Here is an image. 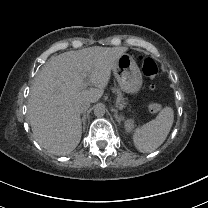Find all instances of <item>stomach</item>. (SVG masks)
Here are the masks:
<instances>
[{
    "mask_svg": "<svg viewBox=\"0 0 208 208\" xmlns=\"http://www.w3.org/2000/svg\"><path fill=\"white\" fill-rule=\"evenodd\" d=\"M120 89L126 94H137L143 85V76L136 61L123 54L113 69Z\"/></svg>",
    "mask_w": 208,
    "mask_h": 208,
    "instance_id": "1",
    "label": "stomach"
}]
</instances>
